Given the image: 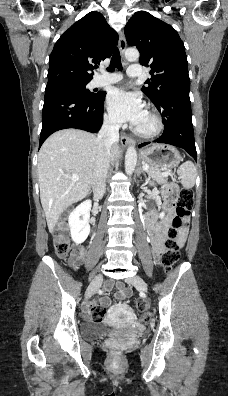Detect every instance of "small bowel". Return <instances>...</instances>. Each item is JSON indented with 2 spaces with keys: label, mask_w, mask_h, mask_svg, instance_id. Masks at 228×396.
Listing matches in <instances>:
<instances>
[{
  "label": "small bowel",
  "mask_w": 228,
  "mask_h": 396,
  "mask_svg": "<svg viewBox=\"0 0 228 396\" xmlns=\"http://www.w3.org/2000/svg\"><path fill=\"white\" fill-rule=\"evenodd\" d=\"M164 194L167 197V190H164ZM171 212V210H170ZM156 214L152 213L151 215L147 216V218H151L155 221ZM160 225L158 232L151 238L152 246H153V253L155 256H160V254L164 250V245L163 242L166 238V234L168 231V228L170 226V218L163 219L161 222L158 223ZM187 235V229L186 227L183 228L180 232V237H179V242L182 244L186 238ZM85 254V248L83 245H77L76 250L73 254L72 257V264L77 265L79 264L82 259L84 258ZM117 287V298L122 300L131 295V292L127 289H125L124 285L121 283H118L116 285ZM112 288V283L107 282L105 284V290H110ZM100 303L104 307H108L110 305V299L107 296H103L100 300ZM96 304L95 301H93L91 304L87 306L86 314L90 315V310L91 308ZM119 309H125L126 311H129V308L126 307L124 304H119L115 307V310Z\"/></svg>",
  "instance_id": "obj_1"
}]
</instances>
